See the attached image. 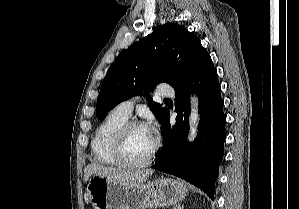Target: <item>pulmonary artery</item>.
<instances>
[{
  "label": "pulmonary artery",
  "instance_id": "e3ab8cb5",
  "mask_svg": "<svg viewBox=\"0 0 299 209\" xmlns=\"http://www.w3.org/2000/svg\"><path fill=\"white\" fill-rule=\"evenodd\" d=\"M156 94L160 97L169 98V97L173 96L174 91L169 85L162 84V85L158 86V88L156 90ZM138 100H139V97H137V96L130 98L128 100H125V101L121 102L116 107V109L118 110V112H120L124 116L130 117L132 114L133 107Z\"/></svg>",
  "mask_w": 299,
  "mask_h": 209
}]
</instances>
